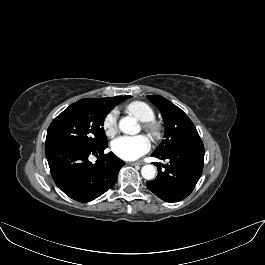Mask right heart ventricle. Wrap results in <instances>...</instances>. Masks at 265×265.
I'll return each instance as SVG.
<instances>
[{
	"label": "right heart ventricle",
	"mask_w": 265,
	"mask_h": 265,
	"mask_svg": "<svg viewBox=\"0 0 265 265\" xmlns=\"http://www.w3.org/2000/svg\"><path fill=\"white\" fill-rule=\"evenodd\" d=\"M126 110L144 123L150 122L155 118L153 108L144 101H133L126 106Z\"/></svg>",
	"instance_id": "1"
}]
</instances>
